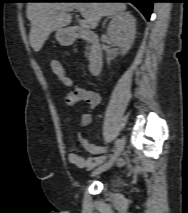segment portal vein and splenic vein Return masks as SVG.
<instances>
[{
  "label": "portal vein and splenic vein",
  "instance_id": "1",
  "mask_svg": "<svg viewBox=\"0 0 188 213\" xmlns=\"http://www.w3.org/2000/svg\"><path fill=\"white\" fill-rule=\"evenodd\" d=\"M79 24H80L81 27H87L88 26V23H87L86 20H80Z\"/></svg>",
  "mask_w": 188,
  "mask_h": 213
}]
</instances>
